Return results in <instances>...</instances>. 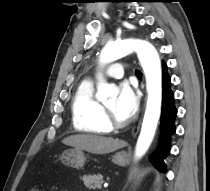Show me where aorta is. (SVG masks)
Here are the masks:
<instances>
[{
    "label": "aorta",
    "mask_w": 210,
    "mask_h": 191,
    "mask_svg": "<svg viewBox=\"0 0 210 191\" xmlns=\"http://www.w3.org/2000/svg\"><path fill=\"white\" fill-rule=\"evenodd\" d=\"M132 52H136L146 78L147 103L141 131L135 147V157L141 158L150 147L161 114L162 70L160 57L155 47L141 39H124L108 42L101 51L100 65L114 62ZM119 93L116 86L100 80L97 85L96 98L105 102L109 97Z\"/></svg>",
    "instance_id": "1"
}]
</instances>
